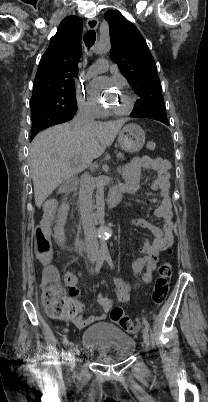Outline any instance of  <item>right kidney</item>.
<instances>
[{"mask_svg": "<svg viewBox=\"0 0 208 402\" xmlns=\"http://www.w3.org/2000/svg\"><path fill=\"white\" fill-rule=\"evenodd\" d=\"M69 212V206L66 202H63L61 206L58 208L57 212V220L56 226L54 228V240L59 244V246H63L65 244V234H64V226L67 220Z\"/></svg>", "mask_w": 208, "mask_h": 402, "instance_id": "ca27d5eb", "label": "right kidney"}]
</instances>
